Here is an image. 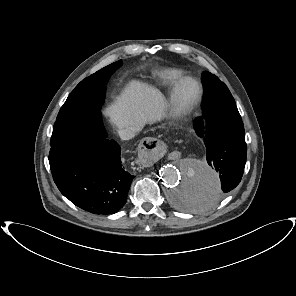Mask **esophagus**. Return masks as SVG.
Here are the masks:
<instances>
[{"label":"esophagus","mask_w":296,"mask_h":296,"mask_svg":"<svg viewBox=\"0 0 296 296\" xmlns=\"http://www.w3.org/2000/svg\"><path fill=\"white\" fill-rule=\"evenodd\" d=\"M166 152V144L156 138H146L138 147L137 153L141 160L154 164L161 160Z\"/></svg>","instance_id":"obj_1"}]
</instances>
